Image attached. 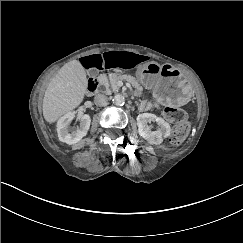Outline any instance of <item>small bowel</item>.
Returning <instances> with one entry per match:
<instances>
[{
  "label": "small bowel",
  "mask_w": 243,
  "mask_h": 243,
  "mask_svg": "<svg viewBox=\"0 0 243 243\" xmlns=\"http://www.w3.org/2000/svg\"><path fill=\"white\" fill-rule=\"evenodd\" d=\"M145 61V57L131 51L112 50L85 56L81 59L82 65L90 71H98L105 68L131 69ZM143 104L142 108H148Z\"/></svg>",
  "instance_id": "obj_1"
}]
</instances>
